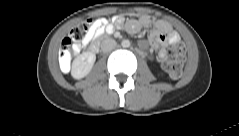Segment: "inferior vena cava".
<instances>
[{
  "label": "inferior vena cava",
  "mask_w": 239,
  "mask_h": 136,
  "mask_svg": "<svg viewBox=\"0 0 239 136\" xmlns=\"http://www.w3.org/2000/svg\"><path fill=\"white\" fill-rule=\"evenodd\" d=\"M117 43L114 39L107 38L101 42V50L103 52H110L116 47Z\"/></svg>",
  "instance_id": "inferior-vena-cava-1"
}]
</instances>
